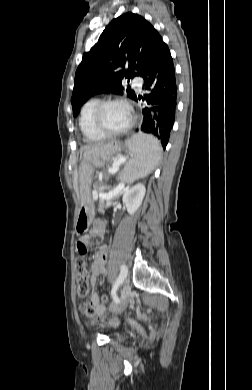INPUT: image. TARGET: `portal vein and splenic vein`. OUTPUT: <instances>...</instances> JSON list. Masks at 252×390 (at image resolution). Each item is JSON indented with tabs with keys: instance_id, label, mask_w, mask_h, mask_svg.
Wrapping results in <instances>:
<instances>
[{
	"instance_id": "1",
	"label": "portal vein and splenic vein",
	"mask_w": 252,
	"mask_h": 390,
	"mask_svg": "<svg viewBox=\"0 0 252 390\" xmlns=\"http://www.w3.org/2000/svg\"><path fill=\"white\" fill-rule=\"evenodd\" d=\"M126 161H127V158H126V157H121V158L115 160V161L113 162V164H112V167L109 169V172H110V173H115V172L119 169V166H120L122 163L126 162ZM121 188H122L121 186H118L117 188H115V189L113 190V192L108 193V194H103L102 196H103L105 199H110V198H112L113 195L118 194V193L120 192Z\"/></svg>"
}]
</instances>
